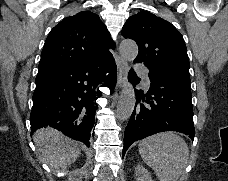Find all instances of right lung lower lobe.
I'll use <instances>...</instances> for the list:
<instances>
[{"mask_svg":"<svg viewBox=\"0 0 228 181\" xmlns=\"http://www.w3.org/2000/svg\"><path fill=\"white\" fill-rule=\"evenodd\" d=\"M116 80L112 55L38 73L30 114L31 133L49 125L89 147L96 99L101 96L99 85L113 91Z\"/></svg>","mask_w":228,"mask_h":181,"instance_id":"1","label":"right lung lower lobe"}]
</instances>
